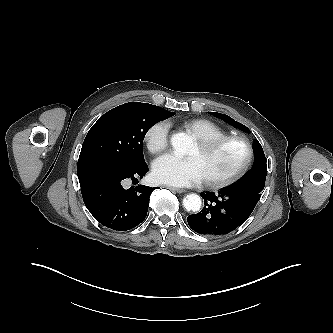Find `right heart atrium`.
I'll use <instances>...</instances> for the list:
<instances>
[{"label": "right heart atrium", "mask_w": 333, "mask_h": 333, "mask_svg": "<svg viewBox=\"0 0 333 333\" xmlns=\"http://www.w3.org/2000/svg\"><path fill=\"white\" fill-rule=\"evenodd\" d=\"M169 128L167 121H158L146 130L144 140L151 153H160L168 146Z\"/></svg>", "instance_id": "right-heart-atrium-1"}]
</instances>
